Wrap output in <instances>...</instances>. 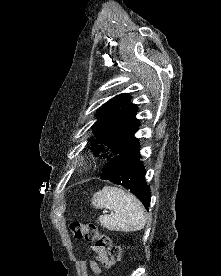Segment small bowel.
<instances>
[{
  "label": "small bowel",
  "instance_id": "small-bowel-1",
  "mask_svg": "<svg viewBox=\"0 0 221 276\" xmlns=\"http://www.w3.org/2000/svg\"><path fill=\"white\" fill-rule=\"evenodd\" d=\"M92 250L95 254V259L98 262H100L104 267H108L109 266V258H108L106 251L99 249L95 246L92 248ZM90 268L94 274H97V275L102 274V270L95 260L91 261Z\"/></svg>",
  "mask_w": 221,
  "mask_h": 276
}]
</instances>
